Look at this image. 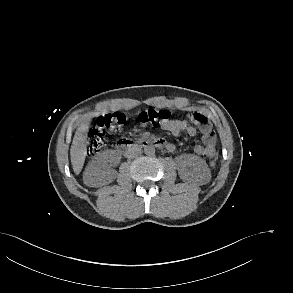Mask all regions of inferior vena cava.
Wrapping results in <instances>:
<instances>
[{
    "instance_id": "602c4592",
    "label": "inferior vena cava",
    "mask_w": 293,
    "mask_h": 293,
    "mask_svg": "<svg viewBox=\"0 0 293 293\" xmlns=\"http://www.w3.org/2000/svg\"><path fill=\"white\" fill-rule=\"evenodd\" d=\"M139 154H141V148L138 147V146H133V147L129 150V152H128V154H127V157H128V158H134V157L138 156Z\"/></svg>"
}]
</instances>
